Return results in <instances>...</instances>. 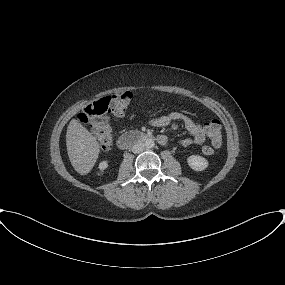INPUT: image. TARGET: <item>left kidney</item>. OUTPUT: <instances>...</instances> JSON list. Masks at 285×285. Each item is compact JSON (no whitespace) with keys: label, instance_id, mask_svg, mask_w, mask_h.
<instances>
[{"label":"left kidney","instance_id":"left-kidney-1","mask_svg":"<svg viewBox=\"0 0 285 285\" xmlns=\"http://www.w3.org/2000/svg\"><path fill=\"white\" fill-rule=\"evenodd\" d=\"M188 165L195 171H203L208 167V161L199 155H191L187 159Z\"/></svg>","mask_w":285,"mask_h":285}]
</instances>
